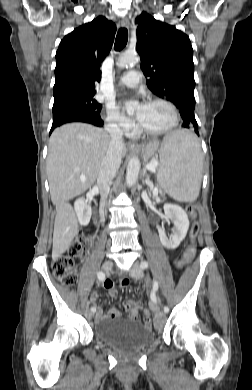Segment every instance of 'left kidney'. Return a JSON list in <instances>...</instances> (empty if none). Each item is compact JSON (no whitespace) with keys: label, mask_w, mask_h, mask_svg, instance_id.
<instances>
[{"label":"left kidney","mask_w":252,"mask_h":390,"mask_svg":"<svg viewBox=\"0 0 252 390\" xmlns=\"http://www.w3.org/2000/svg\"><path fill=\"white\" fill-rule=\"evenodd\" d=\"M164 213L166 220L171 221L174 228L172 235L168 238L163 226L157 227L159 238L162 245L167 249H176L187 234L189 219L186 212L176 204H164Z\"/></svg>","instance_id":"1"}]
</instances>
